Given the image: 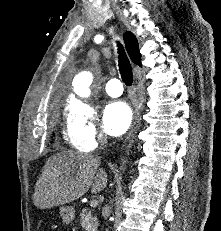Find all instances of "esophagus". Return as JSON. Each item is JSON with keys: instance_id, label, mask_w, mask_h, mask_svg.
<instances>
[{"instance_id": "1", "label": "esophagus", "mask_w": 221, "mask_h": 231, "mask_svg": "<svg viewBox=\"0 0 221 231\" xmlns=\"http://www.w3.org/2000/svg\"><path fill=\"white\" fill-rule=\"evenodd\" d=\"M141 100L139 101L138 105H137V108H136V112H135V117H134V123H133V126H132V129L127 137V140L130 139V137L132 136V133L133 131L135 130L136 126H137V123L139 121V118H140V109H141Z\"/></svg>"}]
</instances>
